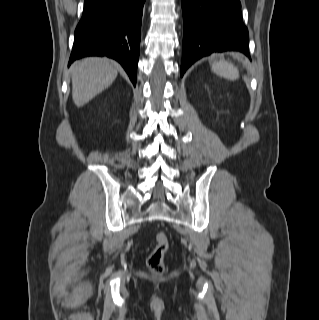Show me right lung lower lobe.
<instances>
[{
  "label": "right lung lower lobe",
  "instance_id": "obj_1",
  "mask_svg": "<svg viewBox=\"0 0 319 320\" xmlns=\"http://www.w3.org/2000/svg\"><path fill=\"white\" fill-rule=\"evenodd\" d=\"M145 0H85L69 64L84 56H108L121 63L136 84Z\"/></svg>",
  "mask_w": 319,
  "mask_h": 320
}]
</instances>
